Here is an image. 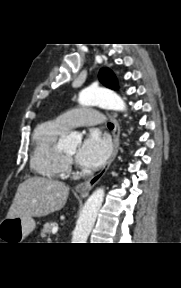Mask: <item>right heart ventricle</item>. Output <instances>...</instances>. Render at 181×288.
Returning <instances> with one entry per match:
<instances>
[{"instance_id":"e07e8e85","label":"right heart ventricle","mask_w":181,"mask_h":288,"mask_svg":"<svg viewBox=\"0 0 181 288\" xmlns=\"http://www.w3.org/2000/svg\"><path fill=\"white\" fill-rule=\"evenodd\" d=\"M66 131L56 120L45 122L35 130L31 166L40 175L58 178L68 172V159L58 146L59 138Z\"/></svg>"}]
</instances>
